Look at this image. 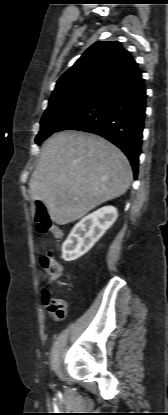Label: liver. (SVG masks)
<instances>
[{"label":"liver","mask_w":168,"mask_h":415,"mask_svg":"<svg viewBox=\"0 0 168 415\" xmlns=\"http://www.w3.org/2000/svg\"><path fill=\"white\" fill-rule=\"evenodd\" d=\"M133 173L124 153L91 133L64 131L43 144L30 179V195L66 225L128 190Z\"/></svg>","instance_id":"1"}]
</instances>
